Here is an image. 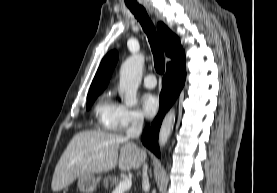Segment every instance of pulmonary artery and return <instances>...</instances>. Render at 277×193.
<instances>
[{
  "instance_id": "obj_1",
  "label": "pulmonary artery",
  "mask_w": 277,
  "mask_h": 193,
  "mask_svg": "<svg viewBox=\"0 0 277 193\" xmlns=\"http://www.w3.org/2000/svg\"><path fill=\"white\" fill-rule=\"evenodd\" d=\"M143 84L146 88L152 89L156 86V78L153 74H148L143 79Z\"/></svg>"
}]
</instances>
